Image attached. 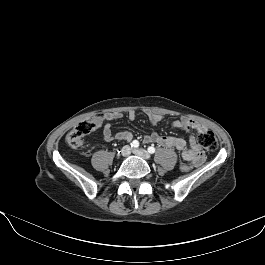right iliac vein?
Here are the masks:
<instances>
[{"label": "right iliac vein", "mask_w": 265, "mask_h": 265, "mask_svg": "<svg viewBox=\"0 0 265 265\" xmlns=\"http://www.w3.org/2000/svg\"><path fill=\"white\" fill-rule=\"evenodd\" d=\"M131 153V148L129 145H125L124 147H122L121 149V155L123 157H128Z\"/></svg>", "instance_id": "right-iliac-vein-1"}]
</instances>
